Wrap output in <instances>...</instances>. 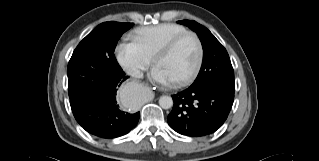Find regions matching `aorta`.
<instances>
[{
	"label": "aorta",
	"instance_id": "762f6f07",
	"mask_svg": "<svg viewBox=\"0 0 319 161\" xmlns=\"http://www.w3.org/2000/svg\"><path fill=\"white\" fill-rule=\"evenodd\" d=\"M159 105L163 109H170L173 106V99L170 96H161L159 99Z\"/></svg>",
	"mask_w": 319,
	"mask_h": 161
}]
</instances>
